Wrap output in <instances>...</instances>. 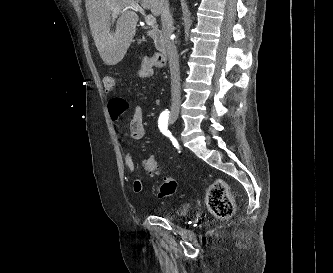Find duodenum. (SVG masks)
<instances>
[{"mask_svg": "<svg viewBox=\"0 0 333 273\" xmlns=\"http://www.w3.org/2000/svg\"><path fill=\"white\" fill-rule=\"evenodd\" d=\"M154 41L155 47L162 58H166L169 49L172 47L170 40L161 29H152L147 32Z\"/></svg>", "mask_w": 333, "mask_h": 273, "instance_id": "1", "label": "duodenum"}]
</instances>
